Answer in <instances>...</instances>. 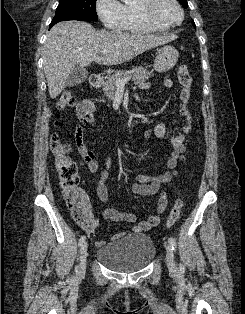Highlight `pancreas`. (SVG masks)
I'll return each mask as SVG.
<instances>
[{
	"label": "pancreas",
	"mask_w": 245,
	"mask_h": 314,
	"mask_svg": "<svg viewBox=\"0 0 245 314\" xmlns=\"http://www.w3.org/2000/svg\"><path fill=\"white\" fill-rule=\"evenodd\" d=\"M152 76V72L147 71L144 67H134L129 71H117L115 75H111L106 77V81L103 84V92L104 96L108 99L112 100L115 97L117 86L115 81L117 79H124L127 77L132 78V81L136 84H143L146 80H148Z\"/></svg>",
	"instance_id": "obj_1"
}]
</instances>
